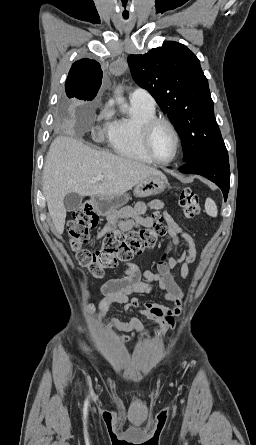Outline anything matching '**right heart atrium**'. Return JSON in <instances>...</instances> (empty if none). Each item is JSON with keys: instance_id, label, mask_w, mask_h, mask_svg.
Instances as JSON below:
<instances>
[{"instance_id": "d8ad5b80", "label": "right heart atrium", "mask_w": 256, "mask_h": 445, "mask_svg": "<svg viewBox=\"0 0 256 445\" xmlns=\"http://www.w3.org/2000/svg\"><path fill=\"white\" fill-rule=\"evenodd\" d=\"M98 121L104 124L102 129H99L95 133L96 138H101L105 136L108 132L110 121H109V110L105 107L98 116Z\"/></svg>"}]
</instances>
